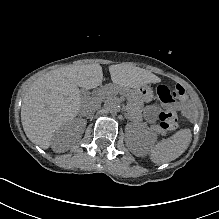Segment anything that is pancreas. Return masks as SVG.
<instances>
[{"instance_id": "pancreas-1", "label": "pancreas", "mask_w": 219, "mask_h": 219, "mask_svg": "<svg viewBox=\"0 0 219 219\" xmlns=\"http://www.w3.org/2000/svg\"><path fill=\"white\" fill-rule=\"evenodd\" d=\"M104 94L105 96H111V98L117 96L129 100L127 103L128 117L133 120H140L142 118V98L138 94H135L133 90H127V88L123 86L117 87L115 85H108L104 89ZM150 130L159 131V127L151 126Z\"/></svg>"}]
</instances>
